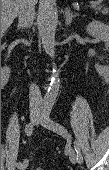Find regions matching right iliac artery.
<instances>
[{
    "label": "right iliac artery",
    "instance_id": "82829eb1",
    "mask_svg": "<svg viewBox=\"0 0 109 170\" xmlns=\"http://www.w3.org/2000/svg\"><path fill=\"white\" fill-rule=\"evenodd\" d=\"M32 131H33L32 124L31 123L27 124L26 128H25V132L28 137H30L32 135ZM20 166H22V163L21 162L17 163V167H20Z\"/></svg>",
    "mask_w": 109,
    "mask_h": 170
}]
</instances>
